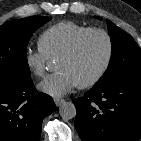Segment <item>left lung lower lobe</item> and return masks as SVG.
Here are the masks:
<instances>
[{
    "mask_svg": "<svg viewBox=\"0 0 141 141\" xmlns=\"http://www.w3.org/2000/svg\"><path fill=\"white\" fill-rule=\"evenodd\" d=\"M73 103L75 128L82 141L141 138V77L93 87Z\"/></svg>",
    "mask_w": 141,
    "mask_h": 141,
    "instance_id": "1",
    "label": "left lung lower lobe"
}]
</instances>
